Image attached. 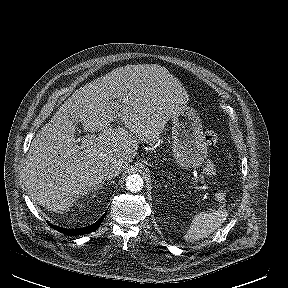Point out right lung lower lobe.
<instances>
[{"instance_id": "obj_1", "label": "right lung lower lobe", "mask_w": 288, "mask_h": 288, "mask_svg": "<svg viewBox=\"0 0 288 288\" xmlns=\"http://www.w3.org/2000/svg\"><path fill=\"white\" fill-rule=\"evenodd\" d=\"M105 215H106V213H104L103 216L98 221H96L94 224H92L88 227L78 228V229H65L62 227H58L56 225H52L50 223H48V224L50 226H52V228H54L55 230L65 234V235H69V236L83 235V234H88V233L95 231L99 227V225L102 223Z\"/></svg>"}]
</instances>
